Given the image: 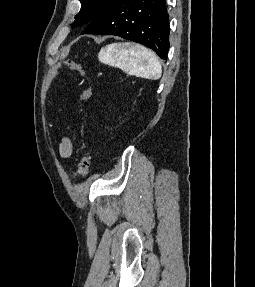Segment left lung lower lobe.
<instances>
[{
  "mask_svg": "<svg viewBox=\"0 0 255 287\" xmlns=\"http://www.w3.org/2000/svg\"><path fill=\"white\" fill-rule=\"evenodd\" d=\"M168 17L165 0H112L81 34L120 36L153 49L166 60Z\"/></svg>",
  "mask_w": 255,
  "mask_h": 287,
  "instance_id": "1",
  "label": "left lung lower lobe"
}]
</instances>
